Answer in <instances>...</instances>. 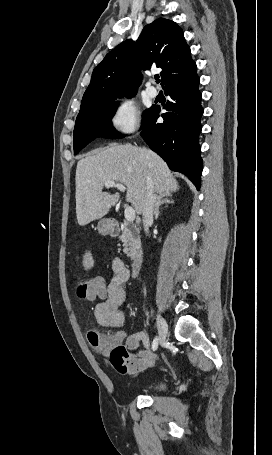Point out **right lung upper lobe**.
<instances>
[{
  "label": "right lung upper lobe",
  "mask_w": 272,
  "mask_h": 455,
  "mask_svg": "<svg viewBox=\"0 0 272 455\" xmlns=\"http://www.w3.org/2000/svg\"><path fill=\"white\" fill-rule=\"evenodd\" d=\"M154 66L163 69V88L196 70L181 28L164 18L146 25L136 42L128 39L105 56L93 70L79 113L135 95L141 83L139 70Z\"/></svg>",
  "instance_id": "cb5924a9"
}]
</instances>
